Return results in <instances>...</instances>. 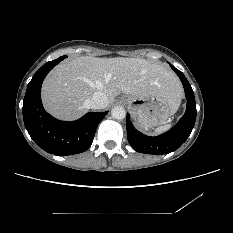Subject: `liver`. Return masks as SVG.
Returning a JSON list of instances; mask_svg holds the SVG:
<instances>
[{
  "label": "liver",
  "instance_id": "obj_1",
  "mask_svg": "<svg viewBox=\"0 0 233 233\" xmlns=\"http://www.w3.org/2000/svg\"><path fill=\"white\" fill-rule=\"evenodd\" d=\"M108 104L125 93L134 96L161 95L177 108L183 90L178 77L167 67L141 58H96L82 56L57 65L42 85L44 108L54 117L71 121L83 116L95 92Z\"/></svg>",
  "mask_w": 233,
  "mask_h": 233
}]
</instances>
